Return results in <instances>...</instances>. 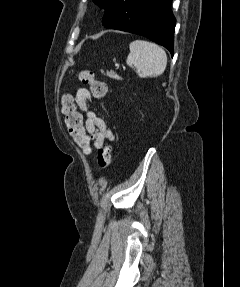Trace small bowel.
Segmentation results:
<instances>
[{
  "mask_svg": "<svg viewBox=\"0 0 240 287\" xmlns=\"http://www.w3.org/2000/svg\"><path fill=\"white\" fill-rule=\"evenodd\" d=\"M92 101L91 93L85 88L79 89L74 98L76 108L85 116V130L92 137L94 147L98 150L103 147L105 141H114L115 137L107 123L90 109Z\"/></svg>",
  "mask_w": 240,
  "mask_h": 287,
  "instance_id": "c3829d8e",
  "label": "small bowel"
}]
</instances>
